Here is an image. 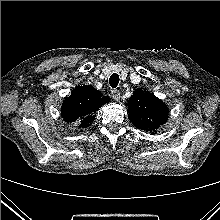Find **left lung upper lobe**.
I'll list each match as a JSON object with an SVG mask.
<instances>
[{"mask_svg":"<svg viewBox=\"0 0 220 220\" xmlns=\"http://www.w3.org/2000/svg\"><path fill=\"white\" fill-rule=\"evenodd\" d=\"M167 106L154 94L142 89L133 92L128 102V117L139 129L151 134L168 118Z\"/></svg>","mask_w":220,"mask_h":220,"instance_id":"left-lung-upper-lobe-1","label":"left lung upper lobe"}]
</instances>
